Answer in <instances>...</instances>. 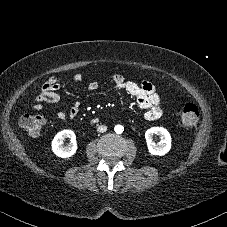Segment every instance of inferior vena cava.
<instances>
[{
    "instance_id": "inferior-vena-cava-1",
    "label": "inferior vena cava",
    "mask_w": 227,
    "mask_h": 227,
    "mask_svg": "<svg viewBox=\"0 0 227 227\" xmlns=\"http://www.w3.org/2000/svg\"><path fill=\"white\" fill-rule=\"evenodd\" d=\"M97 131L100 133H104L107 131V126L106 125H99L97 128Z\"/></svg>"
}]
</instances>
